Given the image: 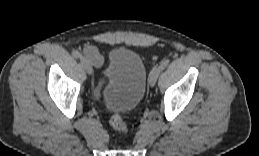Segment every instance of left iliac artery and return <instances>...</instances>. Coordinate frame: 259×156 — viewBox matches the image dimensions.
<instances>
[{
    "mask_svg": "<svg viewBox=\"0 0 259 156\" xmlns=\"http://www.w3.org/2000/svg\"><path fill=\"white\" fill-rule=\"evenodd\" d=\"M169 62H170L169 59L164 60V61L160 64L161 70L165 69L166 66L169 64Z\"/></svg>",
    "mask_w": 259,
    "mask_h": 156,
    "instance_id": "obj_1",
    "label": "left iliac artery"
}]
</instances>
